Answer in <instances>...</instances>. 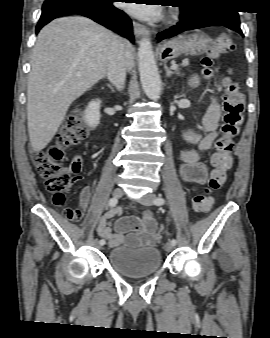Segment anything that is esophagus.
Returning a JSON list of instances; mask_svg holds the SVG:
<instances>
[{
	"instance_id": "34e87169",
	"label": "esophagus",
	"mask_w": 270,
	"mask_h": 338,
	"mask_svg": "<svg viewBox=\"0 0 270 338\" xmlns=\"http://www.w3.org/2000/svg\"><path fill=\"white\" fill-rule=\"evenodd\" d=\"M133 29L135 36L138 38L144 35H149V31L146 29V27L136 21L133 22Z\"/></svg>"
}]
</instances>
